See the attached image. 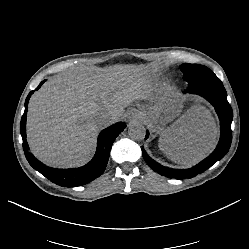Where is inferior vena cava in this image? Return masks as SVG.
Returning <instances> with one entry per match:
<instances>
[{"instance_id": "1", "label": "inferior vena cava", "mask_w": 249, "mask_h": 249, "mask_svg": "<svg viewBox=\"0 0 249 249\" xmlns=\"http://www.w3.org/2000/svg\"><path fill=\"white\" fill-rule=\"evenodd\" d=\"M111 120H112V117L110 115H108V114H102L101 116H99L97 118L98 125L101 128L109 126ZM137 126H141L142 127V125H140V124L137 125Z\"/></svg>"}]
</instances>
